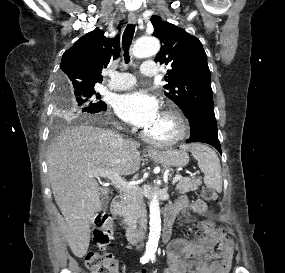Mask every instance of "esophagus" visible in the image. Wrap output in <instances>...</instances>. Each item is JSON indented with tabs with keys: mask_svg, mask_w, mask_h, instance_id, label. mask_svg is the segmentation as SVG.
Returning <instances> with one entry per match:
<instances>
[{
	"mask_svg": "<svg viewBox=\"0 0 285 273\" xmlns=\"http://www.w3.org/2000/svg\"><path fill=\"white\" fill-rule=\"evenodd\" d=\"M128 21H129L130 24H135L137 22V17L135 15V13H133V12L129 13ZM147 151L149 153H156V150L154 148L150 147V146L147 148Z\"/></svg>",
	"mask_w": 285,
	"mask_h": 273,
	"instance_id": "esophagus-1",
	"label": "esophagus"
}]
</instances>
